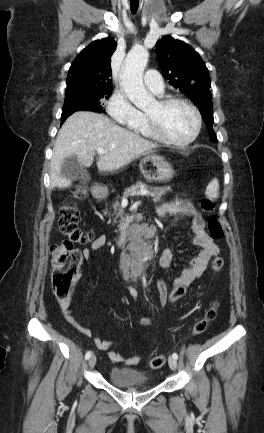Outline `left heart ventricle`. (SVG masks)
Masks as SVG:
<instances>
[{"mask_svg": "<svg viewBox=\"0 0 264 433\" xmlns=\"http://www.w3.org/2000/svg\"><path fill=\"white\" fill-rule=\"evenodd\" d=\"M145 112L155 116L166 135L173 140L184 141L195 129L196 120L192 111L182 104H173L162 109L155 102Z\"/></svg>", "mask_w": 264, "mask_h": 433, "instance_id": "1", "label": "left heart ventricle"}]
</instances>
